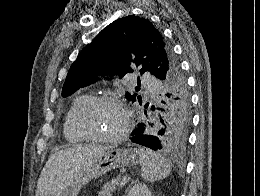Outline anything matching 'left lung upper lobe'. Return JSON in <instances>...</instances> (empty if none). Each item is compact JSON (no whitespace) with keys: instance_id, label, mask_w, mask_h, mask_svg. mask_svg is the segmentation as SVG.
<instances>
[{"instance_id":"obj_1","label":"left lung upper lobe","mask_w":260,"mask_h":196,"mask_svg":"<svg viewBox=\"0 0 260 196\" xmlns=\"http://www.w3.org/2000/svg\"><path fill=\"white\" fill-rule=\"evenodd\" d=\"M135 66L140 68L141 74L150 72L162 80L161 98L156 107L149 109L142 123L145 134L159 139V149L183 151L191 123L186 81L160 30L145 18L130 15L104 28L72 64L62 96L94 83L97 74L123 77L132 73ZM125 97L141 102L137 94L126 93Z\"/></svg>"}]
</instances>
